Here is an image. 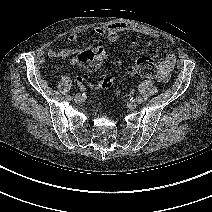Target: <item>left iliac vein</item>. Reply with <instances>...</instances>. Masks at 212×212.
Returning <instances> with one entry per match:
<instances>
[{"label":"left iliac vein","instance_id":"obj_1","mask_svg":"<svg viewBox=\"0 0 212 212\" xmlns=\"http://www.w3.org/2000/svg\"><path fill=\"white\" fill-rule=\"evenodd\" d=\"M136 106H137V103H136L135 100H132V101H130V102L128 103V107H129L130 109H135Z\"/></svg>","mask_w":212,"mask_h":212}]
</instances>
